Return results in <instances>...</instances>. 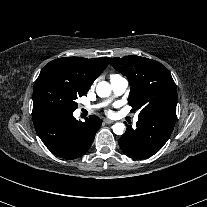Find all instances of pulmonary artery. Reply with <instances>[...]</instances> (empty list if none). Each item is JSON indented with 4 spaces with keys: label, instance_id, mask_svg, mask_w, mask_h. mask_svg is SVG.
I'll use <instances>...</instances> for the list:
<instances>
[{
    "label": "pulmonary artery",
    "instance_id": "1",
    "mask_svg": "<svg viewBox=\"0 0 207 207\" xmlns=\"http://www.w3.org/2000/svg\"><path fill=\"white\" fill-rule=\"evenodd\" d=\"M110 82H111V87L113 90L114 97H119L124 94V92L126 91L127 86H128V82L124 77H122L120 75H114L111 77ZM101 106L102 105H93V106H89L88 108L89 109H96ZM138 120L139 119L137 116L133 118V121L135 123L138 122Z\"/></svg>",
    "mask_w": 207,
    "mask_h": 207
}]
</instances>
